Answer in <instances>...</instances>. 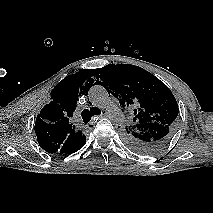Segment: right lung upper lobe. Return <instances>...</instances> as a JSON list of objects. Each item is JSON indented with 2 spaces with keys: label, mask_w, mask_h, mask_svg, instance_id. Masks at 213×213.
Wrapping results in <instances>:
<instances>
[{
  "label": "right lung upper lobe",
  "mask_w": 213,
  "mask_h": 213,
  "mask_svg": "<svg viewBox=\"0 0 213 213\" xmlns=\"http://www.w3.org/2000/svg\"><path fill=\"white\" fill-rule=\"evenodd\" d=\"M96 69L79 70L60 81L51 91V102L38 114L35 133L42 149L49 153L66 154L77 147L85 136L71 123L77 98L88 93Z\"/></svg>",
  "instance_id": "1"
}]
</instances>
